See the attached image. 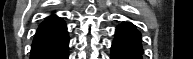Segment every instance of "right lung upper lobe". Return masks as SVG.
Instances as JSON below:
<instances>
[{"label":"right lung upper lobe","instance_id":"right-lung-upper-lobe-1","mask_svg":"<svg viewBox=\"0 0 193 59\" xmlns=\"http://www.w3.org/2000/svg\"><path fill=\"white\" fill-rule=\"evenodd\" d=\"M66 32L63 21L52 15L41 23L35 34L33 43L57 37Z\"/></svg>","mask_w":193,"mask_h":59}]
</instances>
